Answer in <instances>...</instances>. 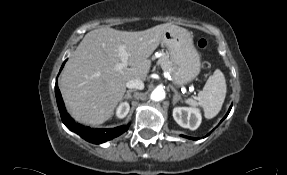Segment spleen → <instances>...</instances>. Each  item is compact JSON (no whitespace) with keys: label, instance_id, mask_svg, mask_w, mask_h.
<instances>
[{"label":"spleen","instance_id":"spleen-1","mask_svg":"<svg viewBox=\"0 0 287 175\" xmlns=\"http://www.w3.org/2000/svg\"><path fill=\"white\" fill-rule=\"evenodd\" d=\"M226 80L224 74L219 70H215L211 75L203 90L199 92L194 99L189 98L186 103L192 106H200L204 110L206 118H214L221 110L226 96Z\"/></svg>","mask_w":287,"mask_h":175}]
</instances>
